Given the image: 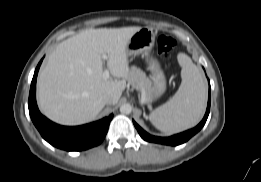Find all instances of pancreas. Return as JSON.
<instances>
[{
  "mask_svg": "<svg viewBox=\"0 0 261 182\" xmlns=\"http://www.w3.org/2000/svg\"><path fill=\"white\" fill-rule=\"evenodd\" d=\"M127 80L133 88L141 92H144L145 101L150 102L152 93V83L141 69L133 66L130 70Z\"/></svg>",
  "mask_w": 261,
  "mask_h": 182,
  "instance_id": "pancreas-1",
  "label": "pancreas"
}]
</instances>
